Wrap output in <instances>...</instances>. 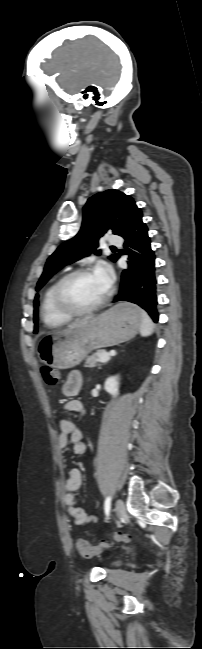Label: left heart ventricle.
Listing matches in <instances>:
<instances>
[{
	"instance_id": "left-heart-ventricle-1",
	"label": "left heart ventricle",
	"mask_w": 202,
	"mask_h": 649,
	"mask_svg": "<svg viewBox=\"0 0 202 649\" xmlns=\"http://www.w3.org/2000/svg\"><path fill=\"white\" fill-rule=\"evenodd\" d=\"M107 289L94 275V272L72 279L65 289L68 301L77 308H87L98 302Z\"/></svg>"
}]
</instances>
